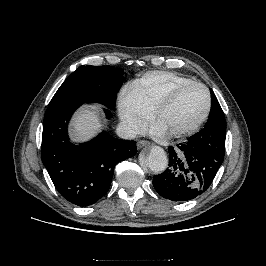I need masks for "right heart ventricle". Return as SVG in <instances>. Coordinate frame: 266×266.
I'll use <instances>...</instances> for the list:
<instances>
[{
	"mask_svg": "<svg viewBox=\"0 0 266 266\" xmlns=\"http://www.w3.org/2000/svg\"><path fill=\"white\" fill-rule=\"evenodd\" d=\"M191 81L193 80L174 72L151 71L134 80L128 88L153 112L157 103L173 87Z\"/></svg>",
	"mask_w": 266,
	"mask_h": 266,
	"instance_id": "e07e8e85",
	"label": "right heart ventricle"
}]
</instances>
